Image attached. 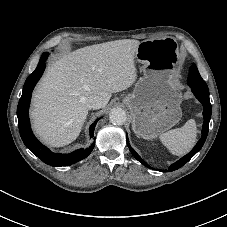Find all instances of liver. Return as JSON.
<instances>
[{
  "mask_svg": "<svg viewBox=\"0 0 227 227\" xmlns=\"http://www.w3.org/2000/svg\"><path fill=\"white\" fill-rule=\"evenodd\" d=\"M141 42L115 40L77 49L50 65L32 99L30 116L38 137L53 147L68 145L80 134L88 115L86 101L132 86L134 59Z\"/></svg>",
  "mask_w": 227,
  "mask_h": 227,
  "instance_id": "obj_1",
  "label": "liver"
}]
</instances>
